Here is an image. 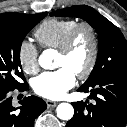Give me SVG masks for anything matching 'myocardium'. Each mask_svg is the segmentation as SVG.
I'll list each match as a JSON object with an SVG mask.
<instances>
[{
    "label": "myocardium",
    "instance_id": "f54148a6",
    "mask_svg": "<svg viewBox=\"0 0 127 127\" xmlns=\"http://www.w3.org/2000/svg\"><path fill=\"white\" fill-rule=\"evenodd\" d=\"M87 32L91 41V52L86 68L77 73L79 79H85L93 72L99 55V38L97 31L93 25L87 22L78 23L64 38L62 44L58 48V53L61 55H68L71 51L77 37L82 33Z\"/></svg>",
    "mask_w": 127,
    "mask_h": 127
}]
</instances>
